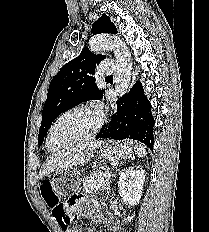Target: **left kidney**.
<instances>
[{
  "instance_id": "1",
  "label": "left kidney",
  "mask_w": 209,
  "mask_h": 232,
  "mask_svg": "<svg viewBox=\"0 0 209 232\" xmlns=\"http://www.w3.org/2000/svg\"><path fill=\"white\" fill-rule=\"evenodd\" d=\"M145 181L144 171L137 167H129L121 173L118 182V193L128 205H137L140 201ZM134 216L128 217L131 221Z\"/></svg>"
}]
</instances>
